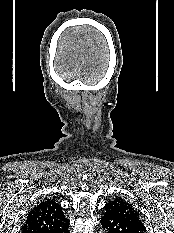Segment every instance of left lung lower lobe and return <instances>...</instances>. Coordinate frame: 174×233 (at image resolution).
Returning a JSON list of instances; mask_svg holds the SVG:
<instances>
[{"mask_svg": "<svg viewBox=\"0 0 174 233\" xmlns=\"http://www.w3.org/2000/svg\"><path fill=\"white\" fill-rule=\"evenodd\" d=\"M100 224L106 233H145L143 224L125 218L116 217L106 212L100 219Z\"/></svg>", "mask_w": 174, "mask_h": 233, "instance_id": "left-lung-lower-lobe-1", "label": "left lung lower lobe"}]
</instances>
